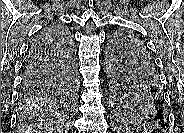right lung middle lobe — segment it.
Masks as SVG:
<instances>
[{"label":"right lung middle lobe","instance_id":"1","mask_svg":"<svg viewBox=\"0 0 184 133\" xmlns=\"http://www.w3.org/2000/svg\"><path fill=\"white\" fill-rule=\"evenodd\" d=\"M53 29L63 37L69 46L68 49L65 50V74L52 99L37 104L19 103V112L22 117L28 118L61 110H69L74 106L77 74L74 65V51L71 35L68 29L62 25L54 24Z\"/></svg>","mask_w":184,"mask_h":133}]
</instances>
